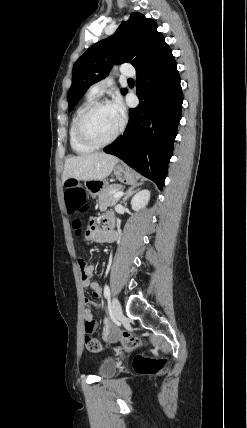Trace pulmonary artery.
I'll list each match as a JSON object with an SVG mask.
<instances>
[{
    "mask_svg": "<svg viewBox=\"0 0 247 428\" xmlns=\"http://www.w3.org/2000/svg\"><path fill=\"white\" fill-rule=\"evenodd\" d=\"M120 73L123 76H134L135 75V70L131 65L128 64H124L120 67ZM112 83V78L111 77H106L105 79L98 81L96 83H94L91 87H90V92L95 94V95H100L103 90L109 86Z\"/></svg>",
    "mask_w": 247,
    "mask_h": 428,
    "instance_id": "e3ab8cb5",
    "label": "pulmonary artery"
}]
</instances>
